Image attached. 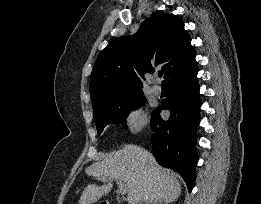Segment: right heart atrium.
I'll use <instances>...</instances> for the list:
<instances>
[{"mask_svg":"<svg viewBox=\"0 0 261 204\" xmlns=\"http://www.w3.org/2000/svg\"><path fill=\"white\" fill-rule=\"evenodd\" d=\"M125 126L130 134L138 133L145 125V117L139 105L130 106L125 113Z\"/></svg>","mask_w":261,"mask_h":204,"instance_id":"1","label":"right heart atrium"}]
</instances>
